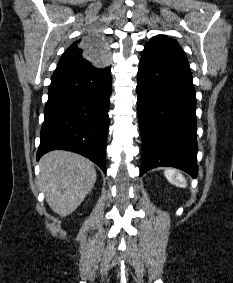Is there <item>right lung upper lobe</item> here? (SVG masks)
Returning <instances> with one entry per match:
<instances>
[{
  "instance_id": "right-lung-upper-lobe-1",
  "label": "right lung upper lobe",
  "mask_w": 233,
  "mask_h": 283,
  "mask_svg": "<svg viewBox=\"0 0 233 283\" xmlns=\"http://www.w3.org/2000/svg\"><path fill=\"white\" fill-rule=\"evenodd\" d=\"M114 49H109L104 37L98 32L90 33L80 44L74 42L62 55L58 68L77 67L86 65H109Z\"/></svg>"
}]
</instances>
